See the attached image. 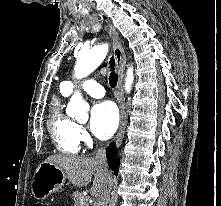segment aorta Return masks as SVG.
<instances>
[{"label":"aorta","mask_w":221,"mask_h":206,"mask_svg":"<svg viewBox=\"0 0 221 206\" xmlns=\"http://www.w3.org/2000/svg\"><path fill=\"white\" fill-rule=\"evenodd\" d=\"M108 52V44L94 46L90 50L80 51L74 68L75 77L82 79L92 73L105 59ZM134 80L133 69L127 70L125 79V90L130 92ZM89 105L86 103L80 92H75L67 107V113L74 116L76 120H86L88 117Z\"/></svg>","instance_id":"762f6f07"}]
</instances>
